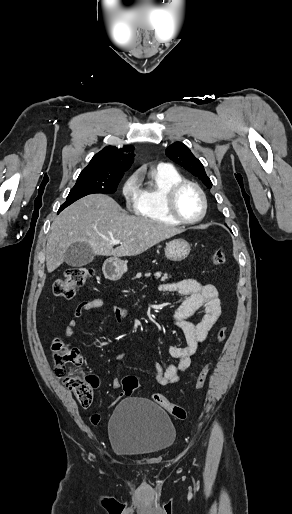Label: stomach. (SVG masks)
Wrapping results in <instances>:
<instances>
[{
    "mask_svg": "<svg viewBox=\"0 0 292 514\" xmlns=\"http://www.w3.org/2000/svg\"><path fill=\"white\" fill-rule=\"evenodd\" d=\"M190 254V246L186 240H172L166 244L165 256L171 262H181ZM127 266L123 260L119 258H108L102 266V272L107 280L117 282L126 272Z\"/></svg>",
    "mask_w": 292,
    "mask_h": 514,
    "instance_id": "0dacf381",
    "label": "stomach"
}]
</instances>
